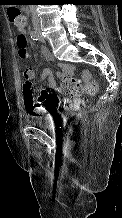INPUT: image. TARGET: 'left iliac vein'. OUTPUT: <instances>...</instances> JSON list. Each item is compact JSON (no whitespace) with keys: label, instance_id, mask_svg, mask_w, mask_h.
<instances>
[{"label":"left iliac vein","instance_id":"4c4485c4","mask_svg":"<svg viewBox=\"0 0 122 218\" xmlns=\"http://www.w3.org/2000/svg\"><path fill=\"white\" fill-rule=\"evenodd\" d=\"M41 41H44V39H43V38H41Z\"/></svg>","mask_w":122,"mask_h":218}]
</instances>
